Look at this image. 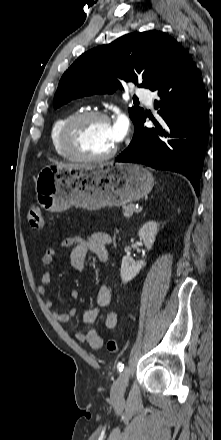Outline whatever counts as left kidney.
<instances>
[{
	"label": "left kidney",
	"instance_id": "1",
	"mask_svg": "<svg viewBox=\"0 0 221 440\" xmlns=\"http://www.w3.org/2000/svg\"><path fill=\"white\" fill-rule=\"evenodd\" d=\"M158 232V224L155 221H148L138 232V236L143 240L147 250H150L154 244L155 237ZM145 260L135 261L129 256L122 258L120 276L122 282L127 283L131 281L145 266Z\"/></svg>",
	"mask_w": 221,
	"mask_h": 440
}]
</instances>
